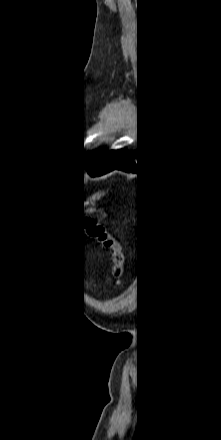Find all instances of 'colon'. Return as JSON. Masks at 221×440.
I'll use <instances>...</instances> for the list:
<instances>
[{"mask_svg":"<svg viewBox=\"0 0 221 440\" xmlns=\"http://www.w3.org/2000/svg\"><path fill=\"white\" fill-rule=\"evenodd\" d=\"M88 231L90 236L102 247L109 249L112 254V277L116 284L120 283L124 268L126 256L119 240L110 237L102 223L90 220L88 222Z\"/></svg>","mask_w":221,"mask_h":440,"instance_id":"1","label":"colon"}]
</instances>
